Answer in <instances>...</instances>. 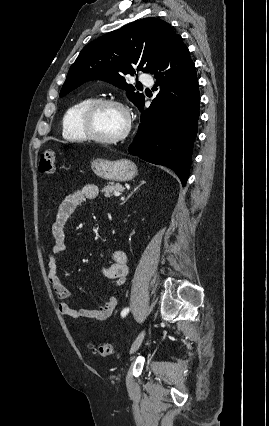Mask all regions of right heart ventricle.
Wrapping results in <instances>:
<instances>
[{
    "label": "right heart ventricle",
    "instance_id": "right-heart-ventricle-1",
    "mask_svg": "<svg viewBox=\"0 0 269 426\" xmlns=\"http://www.w3.org/2000/svg\"><path fill=\"white\" fill-rule=\"evenodd\" d=\"M94 100L84 97L71 105L63 116V136L73 141H85L87 136L82 128L81 117L85 108Z\"/></svg>",
    "mask_w": 269,
    "mask_h": 426
}]
</instances>
